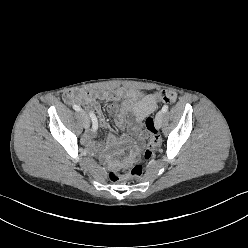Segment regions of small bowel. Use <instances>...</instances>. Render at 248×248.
<instances>
[{"label":"small bowel","mask_w":248,"mask_h":248,"mask_svg":"<svg viewBox=\"0 0 248 248\" xmlns=\"http://www.w3.org/2000/svg\"><path fill=\"white\" fill-rule=\"evenodd\" d=\"M63 98L67 104L80 102L87 107L93 108L97 116H95L97 122L101 127L106 126V119L97 104L98 100L108 103L107 111L114 117L115 124L120 129L125 127L128 115L132 114L134 120L130 125L131 135H121L120 138L115 135H109L105 144L101 145L93 141L95 130L91 129L85 133L83 141L85 145L101 150L106 155L112 154L121 147L126 148L128 155L121 161H115V165L129 164L136 158L138 154L137 140L143 139V119L157 107L152 95L139 90L124 88L106 91L82 89L66 92ZM121 98H124V101L119 104Z\"/></svg>","instance_id":"1"}]
</instances>
